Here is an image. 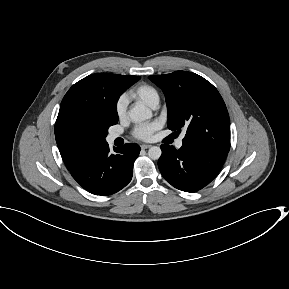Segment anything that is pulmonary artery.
<instances>
[{"mask_svg":"<svg viewBox=\"0 0 289 289\" xmlns=\"http://www.w3.org/2000/svg\"><path fill=\"white\" fill-rule=\"evenodd\" d=\"M157 106V104H155L153 107L155 108ZM119 137V134L118 133H111L109 136H108V140L109 141H114L116 138ZM183 138H184V135H182L176 142V147L177 148H181L182 145H183Z\"/></svg>","mask_w":289,"mask_h":289,"instance_id":"pulmonary-artery-1","label":"pulmonary artery"}]
</instances>
